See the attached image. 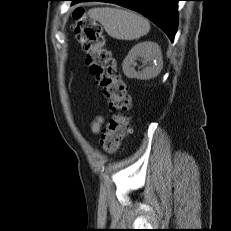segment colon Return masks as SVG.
Returning <instances> with one entry per match:
<instances>
[{
	"label": "colon",
	"mask_w": 231,
	"mask_h": 231,
	"mask_svg": "<svg viewBox=\"0 0 231 231\" xmlns=\"http://www.w3.org/2000/svg\"><path fill=\"white\" fill-rule=\"evenodd\" d=\"M74 17L76 19L75 34L87 54L86 64L108 99L109 107L113 112L100 139L102 149L113 153L129 132L130 119L127 112L131 109L132 100L108 48L107 36L102 26L87 16L82 8L74 11Z\"/></svg>",
	"instance_id": "obj_1"
}]
</instances>
